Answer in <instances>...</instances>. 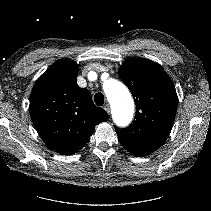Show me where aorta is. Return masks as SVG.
<instances>
[{
  "label": "aorta",
  "mask_w": 211,
  "mask_h": 211,
  "mask_svg": "<svg viewBox=\"0 0 211 211\" xmlns=\"http://www.w3.org/2000/svg\"><path fill=\"white\" fill-rule=\"evenodd\" d=\"M107 97L113 102L114 120L119 126L128 125L133 117L134 102L128 89L118 80L108 79L103 84Z\"/></svg>",
  "instance_id": "aorta-1"
}]
</instances>
